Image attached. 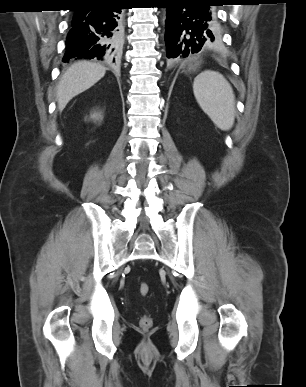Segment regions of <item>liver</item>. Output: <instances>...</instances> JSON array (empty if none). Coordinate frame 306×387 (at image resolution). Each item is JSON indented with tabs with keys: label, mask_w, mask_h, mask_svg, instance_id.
<instances>
[{
	"label": "liver",
	"mask_w": 306,
	"mask_h": 387,
	"mask_svg": "<svg viewBox=\"0 0 306 387\" xmlns=\"http://www.w3.org/2000/svg\"><path fill=\"white\" fill-rule=\"evenodd\" d=\"M106 68L97 63L79 61L63 74L57 87L58 108L62 111L75 96L88 90L104 77Z\"/></svg>",
	"instance_id": "obj_1"
}]
</instances>
